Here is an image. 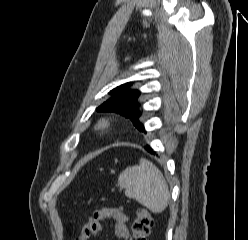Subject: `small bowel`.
Wrapping results in <instances>:
<instances>
[{"instance_id": "1", "label": "small bowel", "mask_w": 248, "mask_h": 240, "mask_svg": "<svg viewBox=\"0 0 248 240\" xmlns=\"http://www.w3.org/2000/svg\"><path fill=\"white\" fill-rule=\"evenodd\" d=\"M102 220H113L114 231L119 239H129L127 228L128 217L122 207H103L97 209L84 222L75 240H88L91 236L100 235L103 231Z\"/></svg>"}]
</instances>
